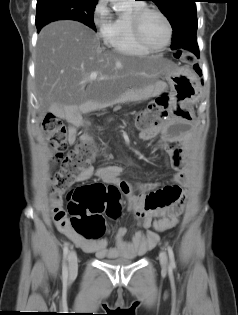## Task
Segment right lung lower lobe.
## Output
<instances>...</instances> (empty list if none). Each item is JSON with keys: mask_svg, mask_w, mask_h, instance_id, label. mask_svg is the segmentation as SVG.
Here are the masks:
<instances>
[{"mask_svg": "<svg viewBox=\"0 0 238 315\" xmlns=\"http://www.w3.org/2000/svg\"><path fill=\"white\" fill-rule=\"evenodd\" d=\"M41 28H42V27L37 28V31L39 32Z\"/></svg>", "mask_w": 238, "mask_h": 315, "instance_id": "98d812e1", "label": "right lung lower lobe"}]
</instances>
